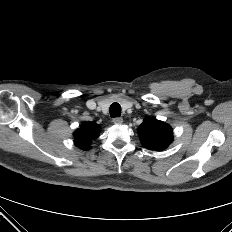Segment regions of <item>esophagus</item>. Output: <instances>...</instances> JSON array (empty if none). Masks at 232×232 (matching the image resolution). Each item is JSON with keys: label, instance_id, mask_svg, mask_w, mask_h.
I'll return each instance as SVG.
<instances>
[{"label": "esophagus", "instance_id": "34e87169", "mask_svg": "<svg viewBox=\"0 0 232 232\" xmlns=\"http://www.w3.org/2000/svg\"><path fill=\"white\" fill-rule=\"evenodd\" d=\"M113 123L114 124H122L123 123V119L121 117H116V118H113Z\"/></svg>", "mask_w": 232, "mask_h": 232}]
</instances>
